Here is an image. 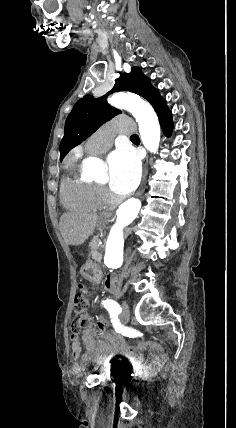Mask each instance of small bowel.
Returning a JSON list of instances; mask_svg holds the SVG:
<instances>
[{"instance_id": "obj_1", "label": "small bowel", "mask_w": 236, "mask_h": 428, "mask_svg": "<svg viewBox=\"0 0 236 428\" xmlns=\"http://www.w3.org/2000/svg\"><path fill=\"white\" fill-rule=\"evenodd\" d=\"M105 289L112 292L115 291L116 286L106 282ZM71 341L72 355L75 360L94 362L119 359L140 370L160 365L165 361V356L158 344L144 341L137 344L129 343L119 335L107 333L104 327L94 324L88 316H84L81 335L71 334ZM81 343L85 345L84 353H82ZM144 351L148 352L147 357L143 354Z\"/></svg>"}]
</instances>
